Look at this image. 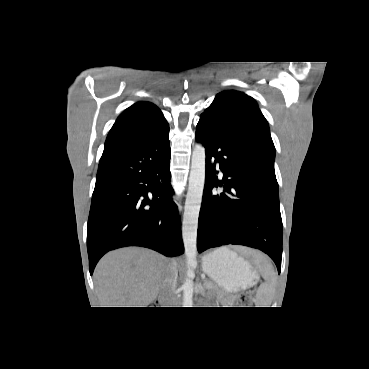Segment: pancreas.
Segmentation results:
<instances>
[{
    "instance_id": "obj_1",
    "label": "pancreas",
    "mask_w": 369,
    "mask_h": 369,
    "mask_svg": "<svg viewBox=\"0 0 369 369\" xmlns=\"http://www.w3.org/2000/svg\"><path fill=\"white\" fill-rule=\"evenodd\" d=\"M204 287L207 290H209V291H215L219 296H223L224 295V293L221 290H219V288L217 287V285L214 284L212 281H205L204 282ZM233 302H234L233 299H230V300L227 301V303L229 305L233 304Z\"/></svg>"
}]
</instances>
